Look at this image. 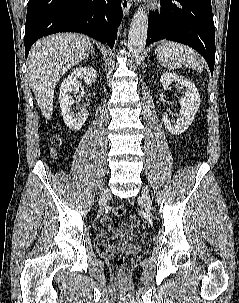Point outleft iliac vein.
Here are the masks:
<instances>
[{
	"instance_id": "4c4485c4",
	"label": "left iliac vein",
	"mask_w": 239,
	"mask_h": 303,
	"mask_svg": "<svg viewBox=\"0 0 239 303\" xmlns=\"http://www.w3.org/2000/svg\"><path fill=\"white\" fill-rule=\"evenodd\" d=\"M141 199L144 201L145 210L150 213L152 210V201L146 188L142 190Z\"/></svg>"
}]
</instances>
